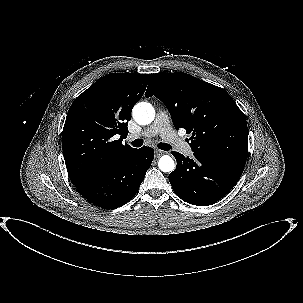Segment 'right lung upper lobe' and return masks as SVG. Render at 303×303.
<instances>
[{"mask_svg":"<svg viewBox=\"0 0 303 303\" xmlns=\"http://www.w3.org/2000/svg\"><path fill=\"white\" fill-rule=\"evenodd\" d=\"M153 74L111 73L72 103L62 132L68 175L77 187L98 176L136 149L122 144L133 106ZM115 135L120 139L114 140Z\"/></svg>","mask_w":303,"mask_h":303,"instance_id":"1","label":"right lung upper lobe"}]
</instances>
